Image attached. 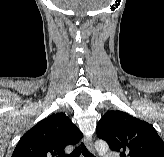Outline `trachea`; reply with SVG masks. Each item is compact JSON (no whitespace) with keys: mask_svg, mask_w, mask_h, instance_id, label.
I'll return each instance as SVG.
<instances>
[{"mask_svg":"<svg viewBox=\"0 0 164 157\" xmlns=\"http://www.w3.org/2000/svg\"><path fill=\"white\" fill-rule=\"evenodd\" d=\"M84 155V157H94L93 154H91L87 148L85 147V145L82 143L80 147H77L70 155H68L67 157H79V155L81 154Z\"/></svg>","mask_w":164,"mask_h":157,"instance_id":"obj_1","label":"trachea"}]
</instances>
